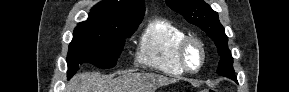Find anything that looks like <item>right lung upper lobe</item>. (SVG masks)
I'll use <instances>...</instances> for the list:
<instances>
[{
	"label": "right lung upper lobe",
	"instance_id": "obj_1",
	"mask_svg": "<svg viewBox=\"0 0 289 92\" xmlns=\"http://www.w3.org/2000/svg\"><path fill=\"white\" fill-rule=\"evenodd\" d=\"M145 14L144 0H103L94 5L87 21L77 27L119 29L136 26Z\"/></svg>",
	"mask_w": 289,
	"mask_h": 92
}]
</instances>
